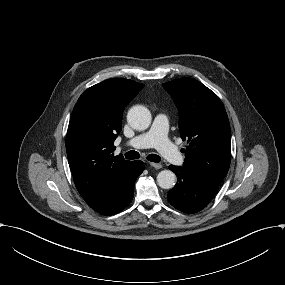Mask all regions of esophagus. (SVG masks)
<instances>
[{
  "label": "esophagus",
  "instance_id": "obj_1",
  "mask_svg": "<svg viewBox=\"0 0 285 285\" xmlns=\"http://www.w3.org/2000/svg\"><path fill=\"white\" fill-rule=\"evenodd\" d=\"M149 164H150V166L154 167L155 169H161L162 168V165L160 163L150 162Z\"/></svg>",
  "mask_w": 285,
  "mask_h": 285
}]
</instances>
